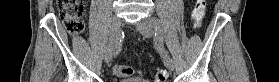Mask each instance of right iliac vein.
<instances>
[{
	"label": "right iliac vein",
	"mask_w": 279,
	"mask_h": 82,
	"mask_svg": "<svg viewBox=\"0 0 279 82\" xmlns=\"http://www.w3.org/2000/svg\"><path fill=\"white\" fill-rule=\"evenodd\" d=\"M120 28H121L120 17L118 16L113 17L109 42L104 51V61L106 63H109L112 60L113 49L120 32Z\"/></svg>",
	"instance_id": "63e3f726"
}]
</instances>
